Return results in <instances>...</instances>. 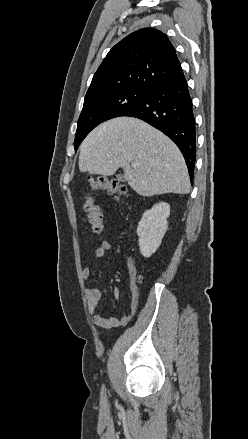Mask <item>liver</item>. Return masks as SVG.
<instances>
[{
  "instance_id": "1",
  "label": "liver",
  "mask_w": 248,
  "mask_h": 439,
  "mask_svg": "<svg viewBox=\"0 0 248 439\" xmlns=\"http://www.w3.org/2000/svg\"><path fill=\"white\" fill-rule=\"evenodd\" d=\"M132 162L137 166L130 165ZM119 167L129 186L141 196L190 192L188 170L178 147L139 119L108 120L91 131L80 146V172L110 176Z\"/></svg>"
}]
</instances>
